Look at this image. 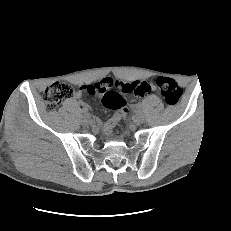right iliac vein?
<instances>
[{
	"label": "right iliac vein",
	"instance_id": "obj_1",
	"mask_svg": "<svg viewBox=\"0 0 231 231\" xmlns=\"http://www.w3.org/2000/svg\"><path fill=\"white\" fill-rule=\"evenodd\" d=\"M90 122H91L90 116L87 115V114H85V115L83 116V123L89 124Z\"/></svg>",
	"mask_w": 231,
	"mask_h": 231
}]
</instances>
